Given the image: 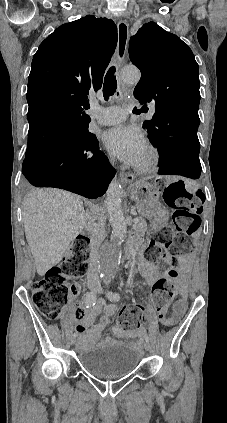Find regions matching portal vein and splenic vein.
Returning <instances> with one entry per match:
<instances>
[{
    "label": "portal vein and splenic vein",
    "mask_w": 227,
    "mask_h": 423,
    "mask_svg": "<svg viewBox=\"0 0 227 423\" xmlns=\"http://www.w3.org/2000/svg\"><path fill=\"white\" fill-rule=\"evenodd\" d=\"M134 223H138L139 219H137V217H135V219H133Z\"/></svg>",
    "instance_id": "obj_1"
}]
</instances>
